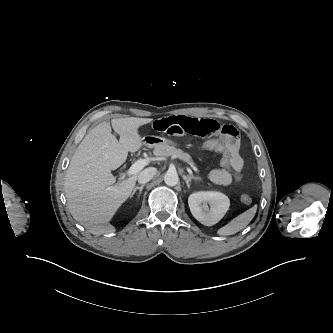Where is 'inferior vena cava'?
Masks as SVG:
<instances>
[{
	"instance_id": "1",
	"label": "inferior vena cava",
	"mask_w": 333,
	"mask_h": 333,
	"mask_svg": "<svg viewBox=\"0 0 333 333\" xmlns=\"http://www.w3.org/2000/svg\"><path fill=\"white\" fill-rule=\"evenodd\" d=\"M156 174V169L155 168H147L141 171L138 175V182L140 184H145L149 182Z\"/></svg>"
}]
</instances>
